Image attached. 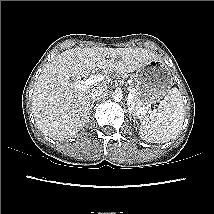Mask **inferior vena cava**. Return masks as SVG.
Segmentation results:
<instances>
[{
    "mask_svg": "<svg viewBox=\"0 0 214 214\" xmlns=\"http://www.w3.org/2000/svg\"><path fill=\"white\" fill-rule=\"evenodd\" d=\"M108 87L106 85H100L93 89V91L90 94V100L92 102L102 99L104 96L107 95Z\"/></svg>",
    "mask_w": 214,
    "mask_h": 214,
    "instance_id": "inferior-vena-cava-1",
    "label": "inferior vena cava"
}]
</instances>
